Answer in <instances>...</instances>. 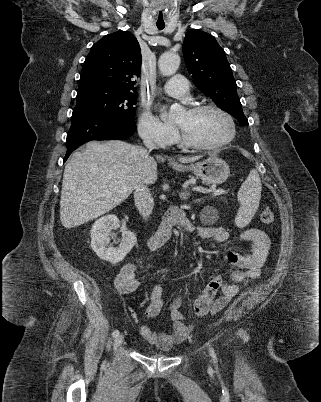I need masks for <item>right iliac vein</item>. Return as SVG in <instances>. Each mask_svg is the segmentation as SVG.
<instances>
[{"mask_svg":"<svg viewBox=\"0 0 321 402\" xmlns=\"http://www.w3.org/2000/svg\"><path fill=\"white\" fill-rule=\"evenodd\" d=\"M124 336L122 334L118 335L114 341V349L116 350L123 342Z\"/></svg>","mask_w":321,"mask_h":402,"instance_id":"right-iliac-vein-1","label":"right iliac vein"}]
</instances>
